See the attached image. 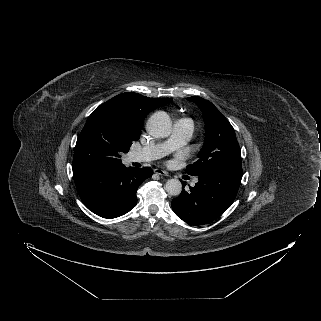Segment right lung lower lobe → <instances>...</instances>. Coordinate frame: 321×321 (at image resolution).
Returning <instances> with one entry per match:
<instances>
[{
	"label": "right lung lower lobe",
	"mask_w": 321,
	"mask_h": 321,
	"mask_svg": "<svg viewBox=\"0 0 321 321\" xmlns=\"http://www.w3.org/2000/svg\"><path fill=\"white\" fill-rule=\"evenodd\" d=\"M151 176L150 167L127 169L121 162L73 171L82 202L95 214L108 219L124 215L134 208L139 185Z\"/></svg>",
	"instance_id": "1"
}]
</instances>
